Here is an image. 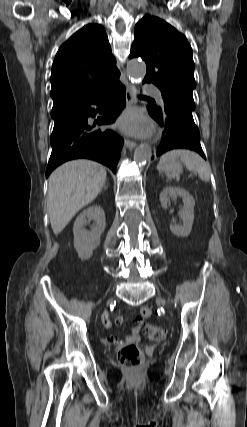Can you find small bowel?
<instances>
[{
  "instance_id": "c3829d8e",
  "label": "small bowel",
  "mask_w": 247,
  "mask_h": 427,
  "mask_svg": "<svg viewBox=\"0 0 247 427\" xmlns=\"http://www.w3.org/2000/svg\"><path fill=\"white\" fill-rule=\"evenodd\" d=\"M151 315V310L147 307H143L140 311V315L136 317L131 326V333L126 336L123 340L118 339L116 336L110 335L106 338V342L110 344H121L123 342H135L139 339V331L143 324L144 319L148 318ZM102 323L105 328H110L112 322L108 315H104L102 318ZM123 323V318L121 315L115 317V324L121 325Z\"/></svg>"
}]
</instances>
